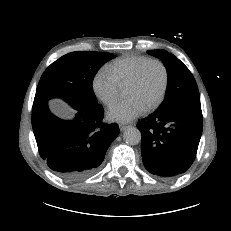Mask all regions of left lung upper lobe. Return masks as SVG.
<instances>
[{"label": "left lung upper lobe", "mask_w": 231, "mask_h": 231, "mask_svg": "<svg viewBox=\"0 0 231 231\" xmlns=\"http://www.w3.org/2000/svg\"><path fill=\"white\" fill-rule=\"evenodd\" d=\"M147 52L163 62L168 74L166 98L157 113L174 111L186 104H200L196 81L182 61L165 50Z\"/></svg>", "instance_id": "1"}]
</instances>
